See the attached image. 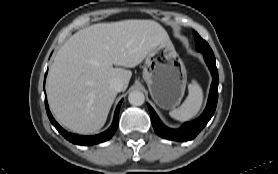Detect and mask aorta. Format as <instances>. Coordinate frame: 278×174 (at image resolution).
Segmentation results:
<instances>
[{"mask_svg": "<svg viewBox=\"0 0 278 174\" xmlns=\"http://www.w3.org/2000/svg\"><path fill=\"white\" fill-rule=\"evenodd\" d=\"M128 101L133 106H141L145 101V96L141 91L134 90L129 94Z\"/></svg>", "mask_w": 278, "mask_h": 174, "instance_id": "762f6f07", "label": "aorta"}]
</instances>
